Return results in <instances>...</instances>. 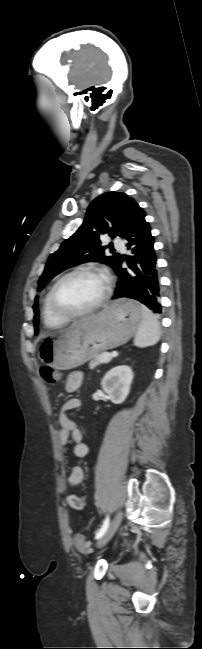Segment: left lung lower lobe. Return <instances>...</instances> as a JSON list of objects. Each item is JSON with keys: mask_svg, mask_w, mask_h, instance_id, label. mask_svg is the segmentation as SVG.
I'll return each instance as SVG.
<instances>
[{"mask_svg": "<svg viewBox=\"0 0 202 649\" xmlns=\"http://www.w3.org/2000/svg\"><path fill=\"white\" fill-rule=\"evenodd\" d=\"M138 218L125 233L126 246L132 252L127 258L119 257L113 269L119 277L113 299L128 297L140 301L155 313L161 312L159 298V277L154 238L149 224ZM129 268H121L123 261Z\"/></svg>", "mask_w": 202, "mask_h": 649, "instance_id": "left-lung-lower-lobe-1", "label": "left lung lower lobe"}]
</instances>
